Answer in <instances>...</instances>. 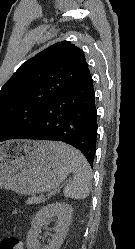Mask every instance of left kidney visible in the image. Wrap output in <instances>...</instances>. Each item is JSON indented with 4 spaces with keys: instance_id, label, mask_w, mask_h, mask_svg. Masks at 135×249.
Wrapping results in <instances>:
<instances>
[{
    "instance_id": "1",
    "label": "left kidney",
    "mask_w": 135,
    "mask_h": 249,
    "mask_svg": "<svg viewBox=\"0 0 135 249\" xmlns=\"http://www.w3.org/2000/svg\"><path fill=\"white\" fill-rule=\"evenodd\" d=\"M73 214V208L66 203H52L37 212L31 223V229L27 234L28 249H59L67 234ZM53 217L57 218V226L54 228L55 235L49 244L41 246L38 241L41 228L50 224Z\"/></svg>"
}]
</instances>
